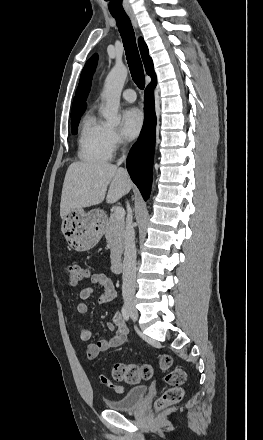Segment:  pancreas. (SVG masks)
<instances>
[{"instance_id": "pancreas-1", "label": "pancreas", "mask_w": 263, "mask_h": 440, "mask_svg": "<svg viewBox=\"0 0 263 440\" xmlns=\"http://www.w3.org/2000/svg\"><path fill=\"white\" fill-rule=\"evenodd\" d=\"M124 233H125L124 218L117 219L114 214H111L110 218L105 224V238L111 249L110 258L112 264L119 261L123 253Z\"/></svg>"}]
</instances>
